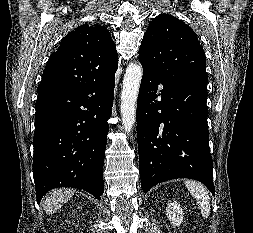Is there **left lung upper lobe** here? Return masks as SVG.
Masks as SVG:
<instances>
[{
	"label": "left lung upper lobe",
	"instance_id": "left-lung-upper-lobe-1",
	"mask_svg": "<svg viewBox=\"0 0 253 233\" xmlns=\"http://www.w3.org/2000/svg\"><path fill=\"white\" fill-rule=\"evenodd\" d=\"M139 55V59L165 82L207 84L205 53L196 33L172 15L160 14L151 21Z\"/></svg>",
	"mask_w": 253,
	"mask_h": 233
}]
</instances>
